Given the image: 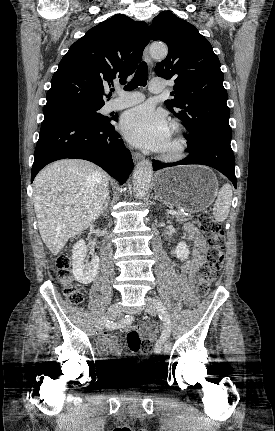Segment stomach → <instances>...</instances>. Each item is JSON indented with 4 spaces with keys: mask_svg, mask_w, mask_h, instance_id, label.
<instances>
[{
    "mask_svg": "<svg viewBox=\"0 0 275 431\" xmlns=\"http://www.w3.org/2000/svg\"><path fill=\"white\" fill-rule=\"evenodd\" d=\"M155 191L170 206L200 212L216 198L218 180L213 171L204 166L169 168L157 173Z\"/></svg>",
    "mask_w": 275,
    "mask_h": 431,
    "instance_id": "stomach-1",
    "label": "stomach"
}]
</instances>
